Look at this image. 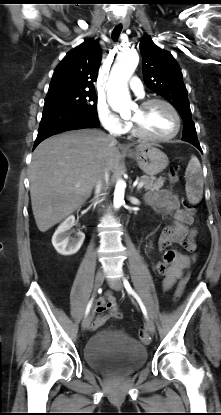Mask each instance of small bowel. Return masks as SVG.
<instances>
[{
    "mask_svg": "<svg viewBox=\"0 0 221 415\" xmlns=\"http://www.w3.org/2000/svg\"><path fill=\"white\" fill-rule=\"evenodd\" d=\"M145 200L157 212L173 218V224L164 228L158 240V248L163 253V260L153 264L154 271L164 275L162 287L167 290L183 276L195 259L194 233L189 231L193 217L187 210L180 208L178 197L169 190L150 192ZM175 245L181 246L188 254L174 249ZM95 312L98 315L92 323L94 329L111 318L121 317L116 299L111 293H106L98 300Z\"/></svg>",
    "mask_w": 221,
    "mask_h": 415,
    "instance_id": "1",
    "label": "small bowel"
}]
</instances>
